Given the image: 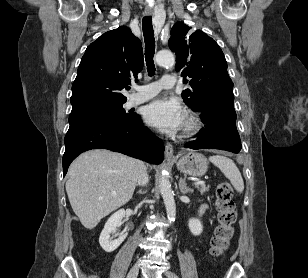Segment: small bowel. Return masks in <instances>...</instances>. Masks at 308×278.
Wrapping results in <instances>:
<instances>
[{"label":"small bowel","instance_id":"small-bowel-1","mask_svg":"<svg viewBox=\"0 0 308 278\" xmlns=\"http://www.w3.org/2000/svg\"><path fill=\"white\" fill-rule=\"evenodd\" d=\"M206 209H207V206L205 204H202L198 210L199 215L201 216L206 211Z\"/></svg>","mask_w":308,"mask_h":278}]
</instances>
